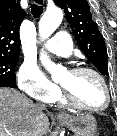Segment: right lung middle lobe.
Instances as JSON below:
<instances>
[{
  "instance_id": "1",
  "label": "right lung middle lobe",
  "mask_w": 117,
  "mask_h": 136,
  "mask_svg": "<svg viewBox=\"0 0 117 136\" xmlns=\"http://www.w3.org/2000/svg\"><path fill=\"white\" fill-rule=\"evenodd\" d=\"M18 58H0V83H16L15 67Z\"/></svg>"
}]
</instances>
